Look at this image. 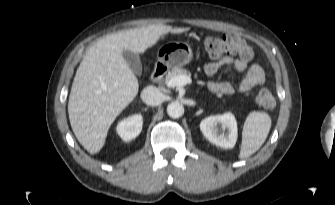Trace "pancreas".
I'll list each match as a JSON object with an SVG mask.
<instances>
[{
    "instance_id": "obj_1",
    "label": "pancreas",
    "mask_w": 335,
    "mask_h": 205,
    "mask_svg": "<svg viewBox=\"0 0 335 205\" xmlns=\"http://www.w3.org/2000/svg\"><path fill=\"white\" fill-rule=\"evenodd\" d=\"M183 75V76H191V73L183 68L174 67L172 70L167 74L165 81L168 82L172 77Z\"/></svg>"
}]
</instances>
